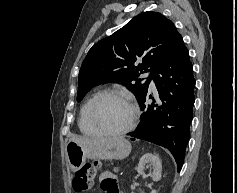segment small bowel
Instances as JSON below:
<instances>
[{"instance_id":"obj_1","label":"small bowel","mask_w":237,"mask_h":193,"mask_svg":"<svg viewBox=\"0 0 237 193\" xmlns=\"http://www.w3.org/2000/svg\"><path fill=\"white\" fill-rule=\"evenodd\" d=\"M101 188L105 193H119L116 177L113 173L105 171L100 176Z\"/></svg>"}]
</instances>
